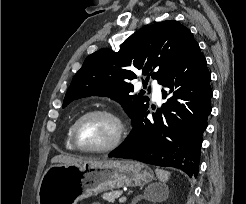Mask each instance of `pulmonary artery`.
Returning <instances> with one entry per match:
<instances>
[{"label":"pulmonary artery","mask_w":246,"mask_h":204,"mask_svg":"<svg viewBox=\"0 0 246 204\" xmlns=\"http://www.w3.org/2000/svg\"><path fill=\"white\" fill-rule=\"evenodd\" d=\"M152 97L155 101L159 102L162 97L161 86L157 83L152 84Z\"/></svg>","instance_id":"e3ab8cb5"}]
</instances>
